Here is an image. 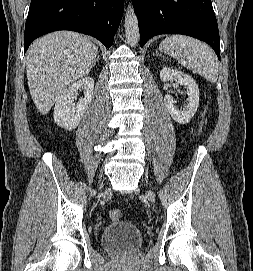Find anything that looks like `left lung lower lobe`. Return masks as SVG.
<instances>
[{"instance_id": "1", "label": "left lung lower lobe", "mask_w": 253, "mask_h": 271, "mask_svg": "<svg viewBox=\"0 0 253 271\" xmlns=\"http://www.w3.org/2000/svg\"><path fill=\"white\" fill-rule=\"evenodd\" d=\"M140 46L160 34H184L208 43L220 59V38L211 0H132Z\"/></svg>"}]
</instances>
